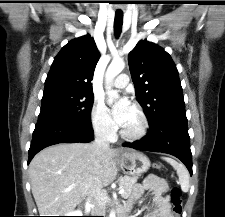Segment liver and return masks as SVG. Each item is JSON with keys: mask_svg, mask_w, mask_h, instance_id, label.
<instances>
[{"mask_svg": "<svg viewBox=\"0 0 225 217\" xmlns=\"http://www.w3.org/2000/svg\"><path fill=\"white\" fill-rule=\"evenodd\" d=\"M118 155L109 148L98 156L94 143H60L40 151L28 169L40 216H63L92 190L113 182Z\"/></svg>", "mask_w": 225, "mask_h": 217, "instance_id": "1", "label": "liver"}]
</instances>
